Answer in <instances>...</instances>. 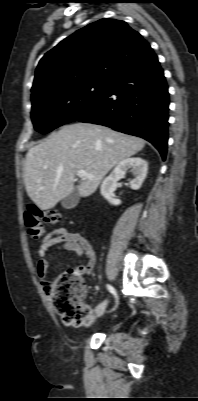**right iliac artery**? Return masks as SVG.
<instances>
[{
	"label": "right iliac artery",
	"instance_id": "1",
	"mask_svg": "<svg viewBox=\"0 0 198 401\" xmlns=\"http://www.w3.org/2000/svg\"><path fill=\"white\" fill-rule=\"evenodd\" d=\"M107 288L116 297V300H117V294H116L115 289L111 285H107ZM116 302H118V301H116Z\"/></svg>",
	"mask_w": 198,
	"mask_h": 401
}]
</instances>
